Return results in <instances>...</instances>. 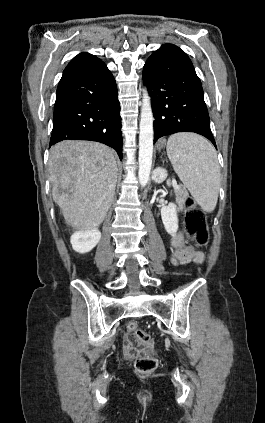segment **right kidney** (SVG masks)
<instances>
[{
  "mask_svg": "<svg viewBox=\"0 0 265 423\" xmlns=\"http://www.w3.org/2000/svg\"><path fill=\"white\" fill-rule=\"evenodd\" d=\"M101 232L97 228L75 232L70 239L73 250L84 254L90 252L100 241Z\"/></svg>",
  "mask_w": 265,
  "mask_h": 423,
  "instance_id": "1",
  "label": "right kidney"
}]
</instances>
